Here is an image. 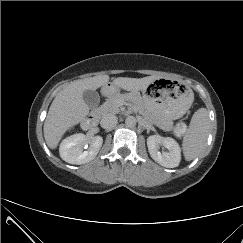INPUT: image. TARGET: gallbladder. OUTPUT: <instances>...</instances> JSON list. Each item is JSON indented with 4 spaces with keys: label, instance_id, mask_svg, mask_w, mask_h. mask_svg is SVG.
I'll use <instances>...</instances> for the list:
<instances>
[{
    "label": "gallbladder",
    "instance_id": "bac80fb5",
    "mask_svg": "<svg viewBox=\"0 0 243 243\" xmlns=\"http://www.w3.org/2000/svg\"><path fill=\"white\" fill-rule=\"evenodd\" d=\"M83 99L89 108H96L100 101V96L95 90H85L83 92Z\"/></svg>",
    "mask_w": 243,
    "mask_h": 243
}]
</instances>
